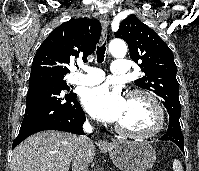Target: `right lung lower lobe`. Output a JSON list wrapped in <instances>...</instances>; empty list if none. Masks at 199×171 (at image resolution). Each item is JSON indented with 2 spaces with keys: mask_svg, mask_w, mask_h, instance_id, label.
I'll return each mask as SVG.
<instances>
[{
  "mask_svg": "<svg viewBox=\"0 0 199 171\" xmlns=\"http://www.w3.org/2000/svg\"><path fill=\"white\" fill-rule=\"evenodd\" d=\"M63 90L49 80L29 82L24 119L12 149L28 136L44 130L83 134L82 124L86 118L77 95L64 94Z\"/></svg>",
  "mask_w": 199,
  "mask_h": 171,
  "instance_id": "1",
  "label": "right lung lower lobe"
}]
</instances>
